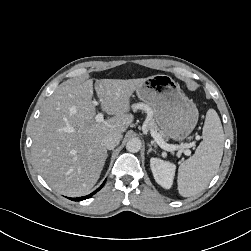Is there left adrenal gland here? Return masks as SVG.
I'll return each instance as SVG.
<instances>
[{
  "instance_id": "left-adrenal-gland-1",
  "label": "left adrenal gland",
  "mask_w": 251,
  "mask_h": 251,
  "mask_svg": "<svg viewBox=\"0 0 251 251\" xmlns=\"http://www.w3.org/2000/svg\"><path fill=\"white\" fill-rule=\"evenodd\" d=\"M148 146H149V149H148V152H147V153H150L151 151L156 152V150L152 148V145H151V144H148Z\"/></svg>"
}]
</instances>
